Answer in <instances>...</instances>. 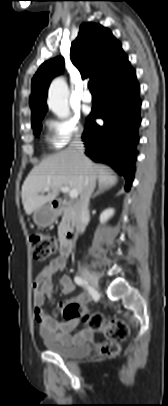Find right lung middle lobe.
<instances>
[{"instance_id":"right-lung-middle-lobe-1","label":"right lung middle lobe","mask_w":168,"mask_h":406,"mask_svg":"<svg viewBox=\"0 0 168 406\" xmlns=\"http://www.w3.org/2000/svg\"><path fill=\"white\" fill-rule=\"evenodd\" d=\"M41 121V120H40ZM35 122L32 124V128H34V134L35 135H39L40 134V130H41V125L39 124V122Z\"/></svg>"}]
</instances>
